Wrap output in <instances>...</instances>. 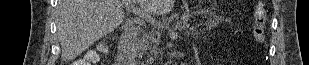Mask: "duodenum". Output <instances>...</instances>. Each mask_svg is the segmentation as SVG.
Masks as SVG:
<instances>
[{
    "mask_svg": "<svg viewBox=\"0 0 309 65\" xmlns=\"http://www.w3.org/2000/svg\"><path fill=\"white\" fill-rule=\"evenodd\" d=\"M134 45V31L129 29L122 33L118 43V62L119 65H135L132 60V50Z\"/></svg>",
    "mask_w": 309,
    "mask_h": 65,
    "instance_id": "1",
    "label": "duodenum"
}]
</instances>
